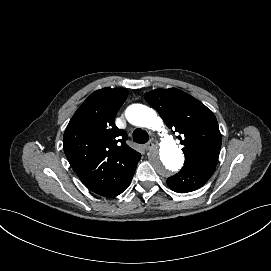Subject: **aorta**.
I'll return each mask as SVG.
<instances>
[{
  "label": "aorta",
  "instance_id": "aorta-1",
  "mask_svg": "<svg viewBox=\"0 0 271 271\" xmlns=\"http://www.w3.org/2000/svg\"><path fill=\"white\" fill-rule=\"evenodd\" d=\"M127 120L136 126L147 127L153 130H161L162 119L151 108L142 104H133L126 109ZM150 161L155 170L163 175L169 176L181 169L184 163V155L170 136H166L160 147L154 149L150 154Z\"/></svg>",
  "mask_w": 271,
  "mask_h": 271
}]
</instances>
